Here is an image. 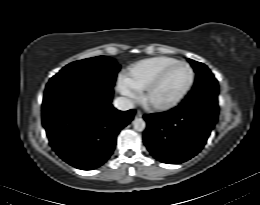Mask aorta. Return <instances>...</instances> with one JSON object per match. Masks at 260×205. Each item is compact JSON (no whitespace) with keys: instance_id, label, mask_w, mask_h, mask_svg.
<instances>
[{"instance_id":"1","label":"aorta","mask_w":260,"mask_h":205,"mask_svg":"<svg viewBox=\"0 0 260 205\" xmlns=\"http://www.w3.org/2000/svg\"><path fill=\"white\" fill-rule=\"evenodd\" d=\"M133 126L136 131L142 132L146 127V123L142 118H135L133 120Z\"/></svg>"}]
</instances>
